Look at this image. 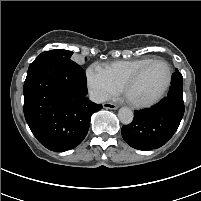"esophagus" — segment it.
Instances as JSON below:
<instances>
[{
    "label": "esophagus",
    "mask_w": 201,
    "mask_h": 201,
    "mask_svg": "<svg viewBox=\"0 0 201 201\" xmlns=\"http://www.w3.org/2000/svg\"><path fill=\"white\" fill-rule=\"evenodd\" d=\"M103 108L115 110V109L118 108V105H116V104H114V103H111V102H105V103L103 104Z\"/></svg>",
    "instance_id": "esophagus-1"
}]
</instances>
